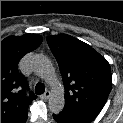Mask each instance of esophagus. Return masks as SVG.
Returning <instances> with one entry per match:
<instances>
[{"instance_id": "34e87169", "label": "esophagus", "mask_w": 123, "mask_h": 123, "mask_svg": "<svg viewBox=\"0 0 123 123\" xmlns=\"http://www.w3.org/2000/svg\"><path fill=\"white\" fill-rule=\"evenodd\" d=\"M50 95H51L50 91H45V93L42 94V95L40 96V98H41L42 100H47V99H49Z\"/></svg>"}]
</instances>
